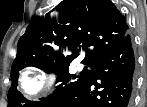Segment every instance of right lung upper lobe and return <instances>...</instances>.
Segmentation results:
<instances>
[{"instance_id": "1", "label": "right lung upper lobe", "mask_w": 147, "mask_h": 107, "mask_svg": "<svg viewBox=\"0 0 147 107\" xmlns=\"http://www.w3.org/2000/svg\"><path fill=\"white\" fill-rule=\"evenodd\" d=\"M59 16L33 18L19 39L12 67L29 62L39 67L68 66L85 50L83 64L94 66L127 34L128 25L109 0H63Z\"/></svg>"}]
</instances>
